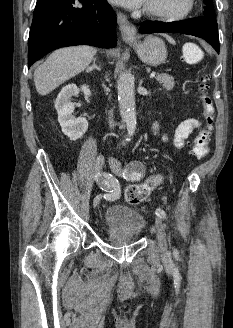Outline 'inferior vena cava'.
I'll return each instance as SVG.
<instances>
[{
  "label": "inferior vena cava",
  "instance_id": "602c4592",
  "mask_svg": "<svg viewBox=\"0 0 233 328\" xmlns=\"http://www.w3.org/2000/svg\"><path fill=\"white\" fill-rule=\"evenodd\" d=\"M112 116H113V114L110 113V116H109V125H110V128H113L114 127V121L112 119Z\"/></svg>",
  "mask_w": 233,
  "mask_h": 328
}]
</instances>
